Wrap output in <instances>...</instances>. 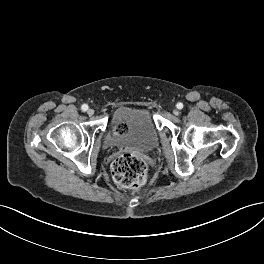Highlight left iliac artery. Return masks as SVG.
<instances>
[{
	"label": "left iliac artery",
	"mask_w": 264,
	"mask_h": 264,
	"mask_svg": "<svg viewBox=\"0 0 264 264\" xmlns=\"http://www.w3.org/2000/svg\"><path fill=\"white\" fill-rule=\"evenodd\" d=\"M176 106H177L178 109H182L183 108V104L181 102L177 103Z\"/></svg>",
	"instance_id": "44dca946"
}]
</instances>
